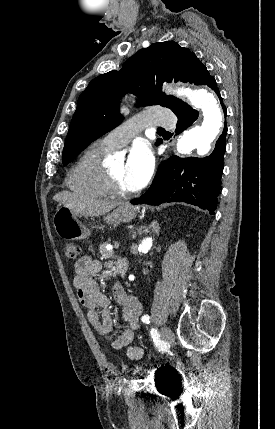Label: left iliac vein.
Instances as JSON below:
<instances>
[{
    "label": "left iliac vein",
    "mask_w": 275,
    "mask_h": 429,
    "mask_svg": "<svg viewBox=\"0 0 275 429\" xmlns=\"http://www.w3.org/2000/svg\"><path fill=\"white\" fill-rule=\"evenodd\" d=\"M160 335L165 345H169L174 341V334L172 330L166 325L162 326L160 330Z\"/></svg>",
    "instance_id": "4c4485c4"
}]
</instances>
